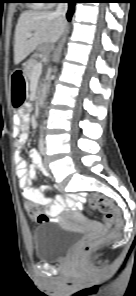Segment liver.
Instances as JSON below:
<instances>
[{
  "label": "liver",
  "instance_id": "obj_1",
  "mask_svg": "<svg viewBox=\"0 0 136 296\" xmlns=\"http://www.w3.org/2000/svg\"><path fill=\"white\" fill-rule=\"evenodd\" d=\"M66 27V21L51 11H25L16 25L14 38V63L23 61L43 43H55ZM34 32L31 37L28 33Z\"/></svg>",
  "mask_w": 136,
  "mask_h": 296
}]
</instances>
